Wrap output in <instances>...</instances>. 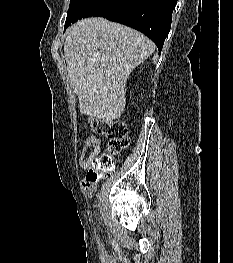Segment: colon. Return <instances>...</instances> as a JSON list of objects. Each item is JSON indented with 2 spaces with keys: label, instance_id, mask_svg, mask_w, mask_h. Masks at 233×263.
Returning a JSON list of instances; mask_svg holds the SVG:
<instances>
[{
  "label": "colon",
  "instance_id": "obj_1",
  "mask_svg": "<svg viewBox=\"0 0 233 263\" xmlns=\"http://www.w3.org/2000/svg\"><path fill=\"white\" fill-rule=\"evenodd\" d=\"M92 130L108 139L107 149L93 161L85 179L88 183H96L98 179L105 180V174L115 167V156L119 155L129 145L127 127L121 121L89 118Z\"/></svg>",
  "mask_w": 233,
  "mask_h": 263
}]
</instances>
